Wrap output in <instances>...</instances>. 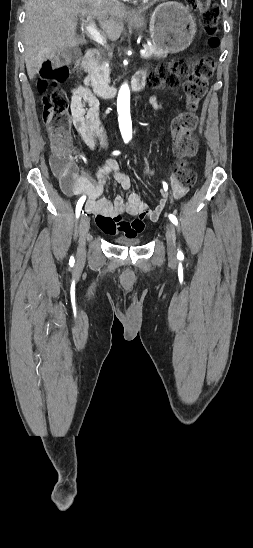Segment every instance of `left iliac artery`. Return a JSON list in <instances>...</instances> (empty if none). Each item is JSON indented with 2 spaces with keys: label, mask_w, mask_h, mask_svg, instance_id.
<instances>
[{
  "label": "left iliac artery",
  "mask_w": 253,
  "mask_h": 548,
  "mask_svg": "<svg viewBox=\"0 0 253 548\" xmlns=\"http://www.w3.org/2000/svg\"><path fill=\"white\" fill-rule=\"evenodd\" d=\"M163 185H164V188H166V183L165 182H163ZM168 217L174 225H176V226L178 225V220H177L176 216H174L173 214H169ZM177 257L179 259H182L184 257L182 251H180V250L178 251Z\"/></svg>",
  "instance_id": "1"
}]
</instances>
